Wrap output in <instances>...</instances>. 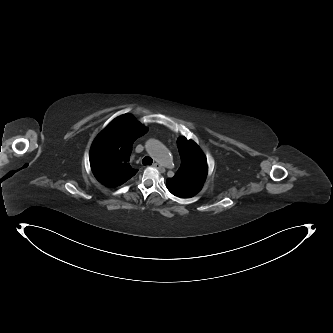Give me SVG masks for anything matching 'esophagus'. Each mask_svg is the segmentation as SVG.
I'll list each match as a JSON object with an SVG mask.
<instances>
[{
    "instance_id": "esophagus-1",
    "label": "esophagus",
    "mask_w": 333,
    "mask_h": 333,
    "mask_svg": "<svg viewBox=\"0 0 333 333\" xmlns=\"http://www.w3.org/2000/svg\"><path fill=\"white\" fill-rule=\"evenodd\" d=\"M153 166L155 167V168H157V169H159L160 171H164V169L162 168V166L158 163V162H154L153 163Z\"/></svg>"
}]
</instances>
